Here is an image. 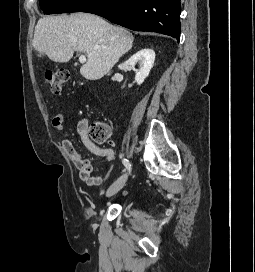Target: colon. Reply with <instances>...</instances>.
Here are the masks:
<instances>
[{
  "mask_svg": "<svg viewBox=\"0 0 255 272\" xmlns=\"http://www.w3.org/2000/svg\"><path fill=\"white\" fill-rule=\"evenodd\" d=\"M68 78L69 73L65 69H49L45 72V80L54 94L61 93ZM88 134L94 142L106 144L112 134V125L107 122L93 123L88 127Z\"/></svg>",
  "mask_w": 255,
  "mask_h": 272,
  "instance_id": "1",
  "label": "colon"
}]
</instances>
